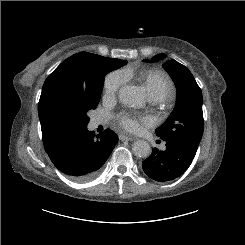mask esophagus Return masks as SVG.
Listing matches in <instances>:
<instances>
[{
	"label": "esophagus",
	"mask_w": 245,
	"mask_h": 245,
	"mask_svg": "<svg viewBox=\"0 0 245 245\" xmlns=\"http://www.w3.org/2000/svg\"><path fill=\"white\" fill-rule=\"evenodd\" d=\"M119 139L121 141H133L134 137L132 136H127V135H119Z\"/></svg>",
	"instance_id": "1"
}]
</instances>
